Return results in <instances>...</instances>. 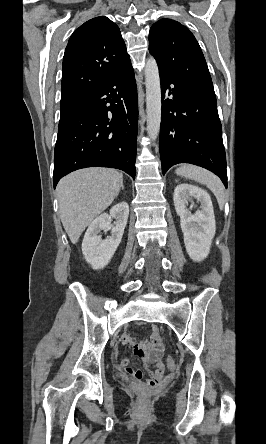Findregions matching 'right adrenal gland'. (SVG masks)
<instances>
[{"label":"right adrenal gland","instance_id":"obj_1","mask_svg":"<svg viewBox=\"0 0 266 444\" xmlns=\"http://www.w3.org/2000/svg\"><path fill=\"white\" fill-rule=\"evenodd\" d=\"M121 188H122V190H124V185L123 184L121 185Z\"/></svg>","mask_w":266,"mask_h":444}]
</instances>
